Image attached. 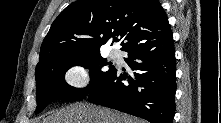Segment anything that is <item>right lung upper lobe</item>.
<instances>
[{
    "instance_id": "1",
    "label": "right lung upper lobe",
    "mask_w": 221,
    "mask_h": 123,
    "mask_svg": "<svg viewBox=\"0 0 221 123\" xmlns=\"http://www.w3.org/2000/svg\"><path fill=\"white\" fill-rule=\"evenodd\" d=\"M172 35L157 0H83L67 6L54 20L36 67L62 57L100 51L109 40L121 50L148 45Z\"/></svg>"
}]
</instances>
